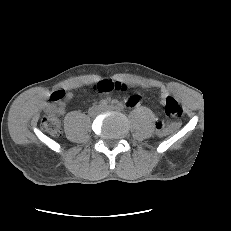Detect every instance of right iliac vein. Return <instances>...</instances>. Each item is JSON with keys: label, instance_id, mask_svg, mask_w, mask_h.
<instances>
[{"label": "right iliac vein", "instance_id": "63e3f726", "mask_svg": "<svg viewBox=\"0 0 231 231\" xmlns=\"http://www.w3.org/2000/svg\"><path fill=\"white\" fill-rule=\"evenodd\" d=\"M99 110H100L99 107H95V108H93L92 113L97 114L99 112Z\"/></svg>", "mask_w": 231, "mask_h": 231}]
</instances>
